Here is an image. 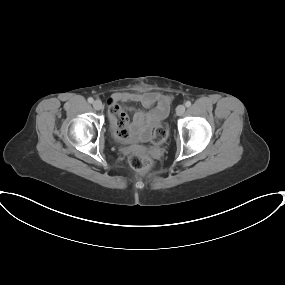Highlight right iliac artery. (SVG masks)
<instances>
[{"label":"right iliac artery","mask_w":285,"mask_h":285,"mask_svg":"<svg viewBox=\"0 0 285 285\" xmlns=\"http://www.w3.org/2000/svg\"><path fill=\"white\" fill-rule=\"evenodd\" d=\"M93 101H94V100H93L92 97L88 98V102H89V103H93Z\"/></svg>","instance_id":"1"}]
</instances>
